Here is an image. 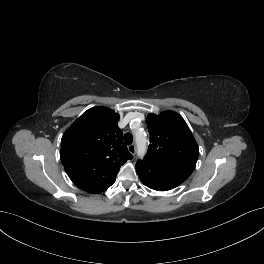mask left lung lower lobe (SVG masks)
<instances>
[{
  "label": "left lung lower lobe",
  "mask_w": 264,
  "mask_h": 264,
  "mask_svg": "<svg viewBox=\"0 0 264 264\" xmlns=\"http://www.w3.org/2000/svg\"><path fill=\"white\" fill-rule=\"evenodd\" d=\"M137 173L144 185L158 191L170 190L182 183L177 178L166 174L162 168L152 164L145 165V167L137 171Z\"/></svg>",
  "instance_id": "left-lung-lower-lobe-1"
}]
</instances>
